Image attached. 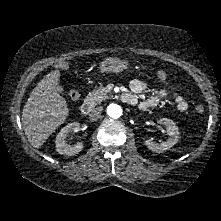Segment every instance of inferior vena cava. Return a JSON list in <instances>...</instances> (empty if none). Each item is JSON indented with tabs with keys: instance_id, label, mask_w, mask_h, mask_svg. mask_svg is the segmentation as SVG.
<instances>
[{
	"instance_id": "inferior-vena-cava-1",
	"label": "inferior vena cava",
	"mask_w": 221,
	"mask_h": 221,
	"mask_svg": "<svg viewBox=\"0 0 221 221\" xmlns=\"http://www.w3.org/2000/svg\"><path fill=\"white\" fill-rule=\"evenodd\" d=\"M102 107L93 108L89 114L90 121H96L100 117Z\"/></svg>"
}]
</instances>
